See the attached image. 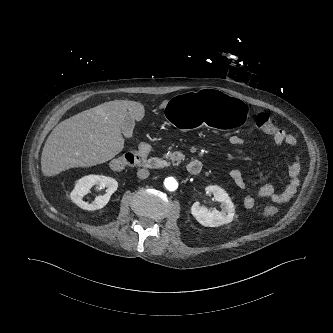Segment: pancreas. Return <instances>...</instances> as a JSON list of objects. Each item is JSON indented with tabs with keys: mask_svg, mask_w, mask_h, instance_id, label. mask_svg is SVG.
Instances as JSON below:
<instances>
[{
	"mask_svg": "<svg viewBox=\"0 0 333 333\" xmlns=\"http://www.w3.org/2000/svg\"><path fill=\"white\" fill-rule=\"evenodd\" d=\"M164 158L169 159L173 164L178 165L185 156L181 152H168L164 155Z\"/></svg>",
	"mask_w": 333,
	"mask_h": 333,
	"instance_id": "obj_1",
	"label": "pancreas"
}]
</instances>
